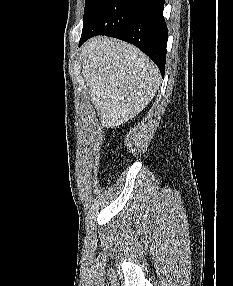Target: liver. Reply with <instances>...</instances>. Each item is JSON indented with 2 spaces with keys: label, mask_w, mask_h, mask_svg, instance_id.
<instances>
[{
  "label": "liver",
  "mask_w": 233,
  "mask_h": 286,
  "mask_svg": "<svg viewBox=\"0 0 233 286\" xmlns=\"http://www.w3.org/2000/svg\"><path fill=\"white\" fill-rule=\"evenodd\" d=\"M82 74L105 127H117L151 102L161 83L156 65L135 46L95 37L81 48Z\"/></svg>",
  "instance_id": "liver-1"
}]
</instances>
